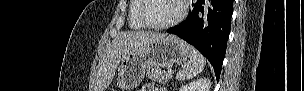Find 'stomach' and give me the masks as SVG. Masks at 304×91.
I'll return each mask as SVG.
<instances>
[{
	"label": "stomach",
	"instance_id": "obj_1",
	"mask_svg": "<svg viewBox=\"0 0 304 91\" xmlns=\"http://www.w3.org/2000/svg\"><path fill=\"white\" fill-rule=\"evenodd\" d=\"M189 57L187 44L177 36L153 38L144 48L127 54L118 68L119 88L130 91L137 87L147 68H162L172 64H183Z\"/></svg>",
	"mask_w": 304,
	"mask_h": 91
}]
</instances>
